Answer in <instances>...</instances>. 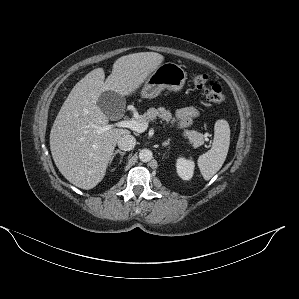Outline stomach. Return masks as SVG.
<instances>
[{
    "mask_svg": "<svg viewBox=\"0 0 299 299\" xmlns=\"http://www.w3.org/2000/svg\"><path fill=\"white\" fill-rule=\"evenodd\" d=\"M186 79L187 73L180 65L173 62L162 63L146 79L141 96L152 99L157 97L163 89L180 92Z\"/></svg>",
    "mask_w": 299,
    "mask_h": 299,
    "instance_id": "obj_1",
    "label": "stomach"
}]
</instances>
